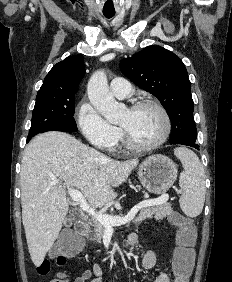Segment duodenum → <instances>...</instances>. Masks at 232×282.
I'll use <instances>...</instances> for the list:
<instances>
[{
    "label": "duodenum",
    "instance_id": "410a0bca",
    "mask_svg": "<svg viewBox=\"0 0 232 282\" xmlns=\"http://www.w3.org/2000/svg\"><path fill=\"white\" fill-rule=\"evenodd\" d=\"M74 228H75L76 233L79 236L83 237L87 234L89 226L86 220L79 219L76 221Z\"/></svg>",
    "mask_w": 232,
    "mask_h": 282
}]
</instances>
